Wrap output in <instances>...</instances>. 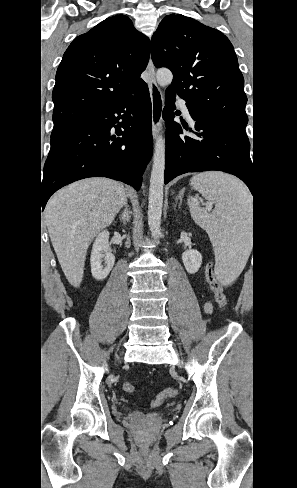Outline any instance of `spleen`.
Returning <instances> with one entry per match:
<instances>
[{"instance_id":"obj_1","label":"spleen","mask_w":297,"mask_h":488,"mask_svg":"<svg viewBox=\"0 0 297 488\" xmlns=\"http://www.w3.org/2000/svg\"><path fill=\"white\" fill-rule=\"evenodd\" d=\"M191 186L215 205L209 213L196 198L189 202L192 218L207 231L215 248L220 281H232L244 269L251 251L252 197L238 179L217 171L193 176Z\"/></svg>"}]
</instances>
